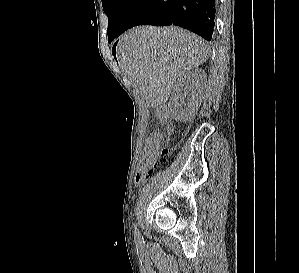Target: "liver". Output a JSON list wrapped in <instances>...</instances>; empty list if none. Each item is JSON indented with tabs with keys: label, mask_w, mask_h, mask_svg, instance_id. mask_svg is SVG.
I'll return each instance as SVG.
<instances>
[{
	"label": "liver",
	"mask_w": 299,
	"mask_h": 273,
	"mask_svg": "<svg viewBox=\"0 0 299 273\" xmlns=\"http://www.w3.org/2000/svg\"><path fill=\"white\" fill-rule=\"evenodd\" d=\"M208 44L179 27H135L117 45L121 69L147 96L152 106L167 102L177 79L204 63Z\"/></svg>",
	"instance_id": "obj_1"
}]
</instances>
